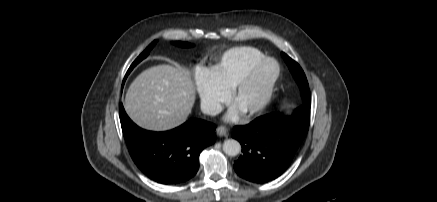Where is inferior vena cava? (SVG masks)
I'll return each instance as SVG.
<instances>
[{
    "label": "inferior vena cava",
    "mask_w": 437,
    "mask_h": 202,
    "mask_svg": "<svg viewBox=\"0 0 437 202\" xmlns=\"http://www.w3.org/2000/svg\"><path fill=\"white\" fill-rule=\"evenodd\" d=\"M201 110L204 114L214 116L222 111V106L215 103H202Z\"/></svg>",
    "instance_id": "obj_1"
}]
</instances>
